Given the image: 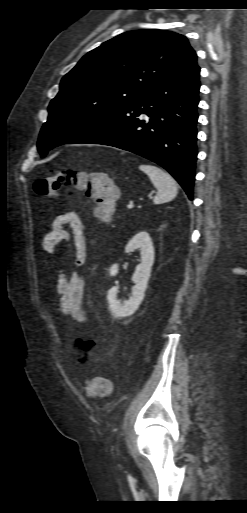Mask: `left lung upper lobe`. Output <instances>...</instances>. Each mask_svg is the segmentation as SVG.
<instances>
[{
    "instance_id": "1",
    "label": "left lung upper lobe",
    "mask_w": 247,
    "mask_h": 513,
    "mask_svg": "<svg viewBox=\"0 0 247 513\" xmlns=\"http://www.w3.org/2000/svg\"><path fill=\"white\" fill-rule=\"evenodd\" d=\"M195 56L186 37L165 30L125 32L90 51L62 78L50 102L37 144L41 156L92 131Z\"/></svg>"
}]
</instances>
